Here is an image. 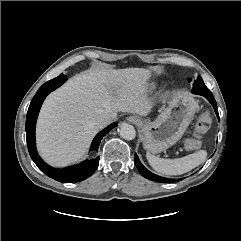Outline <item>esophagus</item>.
Here are the masks:
<instances>
[{
	"instance_id": "obj_1",
	"label": "esophagus",
	"mask_w": 241,
	"mask_h": 241,
	"mask_svg": "<svg viewBox=\"0 0 241 241\" xmlns=\"http://www.w3.org/2000/svg\"><path fill=\"white\" fill-rule=\"evenodd\" d=\"M127 121H128L129 123L136 124V123L139 121V119H138L136 116H129V117L127 118Z\"/></svg>"
}]
</instances>
